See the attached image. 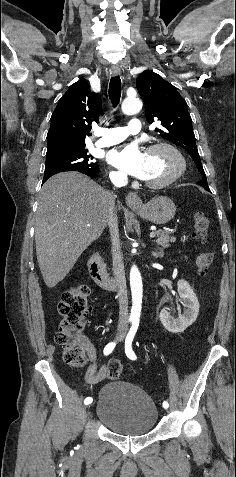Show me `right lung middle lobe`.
I'll return each instance as SVG.
<instances>
[{
    "mask_svg": "<svg viewBox=\"0 0 236 477\" xmlns=\"http://www.w3.org/2000/svg\"><path fill=\"white\" fill-rule=\"evenodd\" d=\"M87 152L88 150L82 149L69 156L46 162L44 176H52L65 171H78L86 174L96 173L99 169L98 164L92 161V155H88Z\"/></svg>",
    "mask_w": 236,
    "mask_h": 477,
    "instance_id": "1",
    "label": "right lung middle lobe"
}]
</instances>
